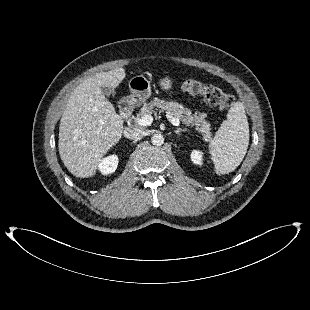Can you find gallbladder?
<instances>
[{
  "label": "gallbladder",
  "instance_id": "gallbladder-1",
  "mask_svg": "<svg viewBox=\"0 0 310 310\" xmlns=\"http://www.w3.org/2000/svg\"><path fill=\"white\" fill-rule=\"evenodd\" d=\"M101 91L107 97H109L111 94H113V90L110 87H107V86H102L101 87Z\"/></svg>",
  "mask_w": 310,
  "mask_h": 310
}]
</instances>
